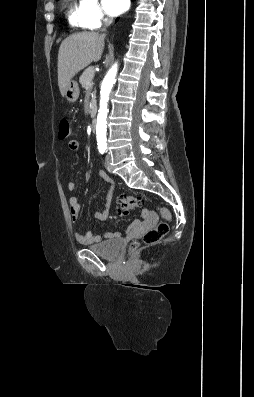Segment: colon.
<instances>
[{
    "label": "colon",
    "instance_id": "colon-1",
    "mask_svg": "<svg viewBox=\"0 0 254 397\" xmlns=\"http://www.w3.org/2000/svg\"><path fill=\"white\" fill-rule=\"evenodd\" d=\"M70 135V124L68 120L62 119L59 123V139H66ZM144 203L142 197L133 195H123L119 199V212L127 213L131 210L141 207ZM159 213L161 216L169 220L171 218L170 211L165 208H159ZM169 231V226L166 222H160L155 228L146 231L142 237V242L148 245L158 242L162 237H164ZM139 241L133 240L128 243V250L133 251L138 248Z\"/></svg>",
    "mask_w": 254,
    "mask_h": 397
}]
</instances>
